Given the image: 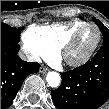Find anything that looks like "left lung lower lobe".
<instances>
[{"label": "left lung lower lobe", "instance_id": "left-lung-lower-lobe-1", "mask_svg": "<svg viewBox=\"0 0 109 109\" xmlns=\"http://www.w3.org/2000/svg\"><path fill=\"white\" fill-rule=\"evenodd\" d=\"M62 84L51 92L58 109H97L109 98V44L74 70L61 73Z\"/></svg>", "mask_w": 109, "mask_h": 109}]
</instances>
